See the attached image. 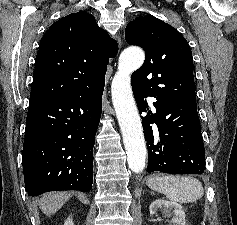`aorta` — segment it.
Wrapping results in <instances>:
<instances>
[{
	"label": "aorta",
	"mask_w": 237,
	"mask_h": 225,
	"mask_svg": "<svg viewBox=\"0 0 237 225\" xmlns=\"http://www.w3.org/2000/svg\"><path fill=\"white\" fill-rule=\"evenodd\" d=\"M144 52L137 47L125 49L112 84V102L123 137L129 168L141 173L146 165L147 149L141 119L131 89V73L141 67Z\"/></svg>",
	"instance_id": "aorta-1"
}]
</instances>
